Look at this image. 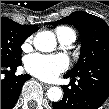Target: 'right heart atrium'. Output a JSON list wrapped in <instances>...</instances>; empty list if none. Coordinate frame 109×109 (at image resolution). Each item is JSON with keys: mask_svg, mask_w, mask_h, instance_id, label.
I'll return each mask as SVG.
<instances>
[{"mask_svg": "<svg viewBox=\"0 0 109 109\" xmlns=\"http://www.w3.org/2000/svg\"><path fill=\"white\" fill-rule=\"evenodd\" d=\"M31 48V40L27 39L23 44H22V49L23 50H28Z\"/></svg>", "mask_w": 109, "mask_h": 109, "instance_id": "1", "label": "right heart atrium"}]
</instances>
